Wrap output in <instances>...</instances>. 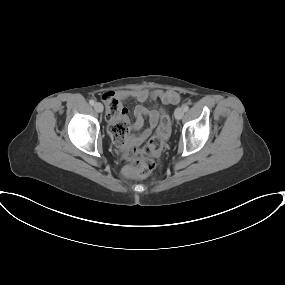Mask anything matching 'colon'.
<instances>
[{"instance_id":"5ec220e1","label":"colon","mask_w":285,"mask_h":285,"mask_svg":"<svg viewBox=\"0 0 285 285\" xmlns=\"http://www.w3.org/2000/svg\"><path fill=\"white\" fill-rule=\"evenodd\" d=\"M104 101L106 102V111L113 115L119 114L121 105L117 99L108 95L104 98ZM170 125L169 117L167 115L163 116L155 135L148 141L146 147L142 150L134 151L136 157L127 170L130 174L145 177L154 170L156 164L151 156L156 155L163 149L164 142L170 134ZM109 129L115 143L123 145L130 132L129 123L120 120L114 124H110Z\"/></svg>"}]
</instances>
